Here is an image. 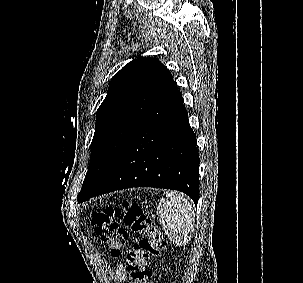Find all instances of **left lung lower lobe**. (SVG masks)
<instances>
[{"label":"left lung lower lobe","instance_id":"left-lung-lower-lobe-1","mask_svg":"<svg viewBox=\"0 0 303 283\" xmlns=\"http://www.w3.org/2000/svg\"><path fill=\"white\" fill-rule=\"evenodd\" d=\"M199 155L182 95L169 73L113 171L96 190L78 194L82 203L131 187L175 189L199 199Z\"/></svg>","mask_w":303,"mask_h":283}]
</instances>
